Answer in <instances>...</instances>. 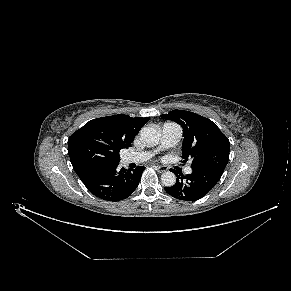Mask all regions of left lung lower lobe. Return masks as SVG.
Wrapping results in <instances>:
<instances>
[{
    "label": "left lung lower lobe",
    "instance_id": "1",
    "mask_svg": "<svg viewBox=\"0 0 291 291\" xmlns=\"http://www.w3.org/2000/svg\"><path fill=\"white\" fill-rule=\"evenodd\" d=\"M172 171L176 174L177 181L173 186L164 189L172 197L184 201H195L204 197L223 174L222 170L202 168H195L186 176L178 174L175 170Z\"/></svg>",
    "mask_w": 291,
    "mask_h": 291
}]
</instances>
